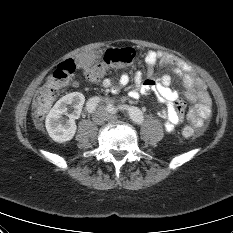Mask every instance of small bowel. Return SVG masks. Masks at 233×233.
Here are the masks:
<instances>
[{
	"label": "small bowel",
	"mask_w": 233,
	"mask_h": 233,
	"mask_svg": "<svg viewBox=\"0 0 233 233\" xmlns=\"http://www.w3.org/2000/svg\"><path fill=\"white\" fill-rule=\"evenodd\" d=\"M78 63L81 68L85 69L89 65L90 59L81 57L78 59ZM145 63L150 72L157 63L162 67L173 68L174 72L183 79L185 95L193 103V106L186 112V103L180 100L177 91L170 87L171 77L168 74H163L160 78H155L150 74L148 78L143 79L142 73L136 72L134 76L135 89L132 91V97L149 92L155 93L164 108L161 115L166 119L164 126L167 131H172L176 125L180 124L185 114L194 125L202 126L211 114V98L206 84L196 72L162 51H148L145 55ZM130 80L129 74L122 73L117 83H114L112 78L107 77L102 81V85L112 94H117ZM76 83L75 81L74 84Z\"/></svg>",
	"instance_id": "1"
}]
</instances>
